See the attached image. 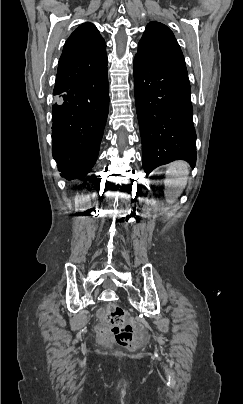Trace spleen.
Listing matches in <instances>:
<instances>
[{"label": "spleen", "instance_id": "1", "mask_svg": "<svg viewBox=\"0 0 243 404\" xmlns=\"http://www.w3.org/2000/svg\"><path fill=\"white\" fill-rule=\"evenodd\" d=\"M188 164L178 160V162H173L168 166L166 172L167 180H165V186H186L188 178Z\"/></svg>", "mask_w": 243, "mask_h": 404}]
</instances>
